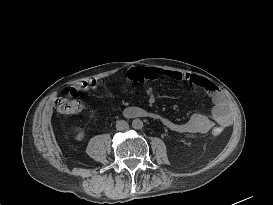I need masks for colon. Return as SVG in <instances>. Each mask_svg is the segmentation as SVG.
<instances>
[{"mask_svg": "<svg viewBox=\"0 0 273 205\" xmlns=\"http://www.w3.org/2000/svg\"><path fill=\"white\" fill-rule=\"evenodd\" d=\"M128 80L132 82H144L149 78L148 69H140L133 68L128 72ZM113 79H104L102 81H92L91 87L99 86L100 84L112 83ZM55 108L58 112L62 114H76L81 110V104L77 99V93L73 92L70 94H66L60 96L55 101ZM214 135H220L222 133V129L219 127H215L212 130Z\"/></svg>", "mask_w": 273, "mask_h": 205, "instance_id": "colon-1", "label": "colon"}]
</instances>
